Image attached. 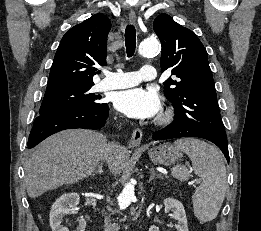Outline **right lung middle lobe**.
Returning <instances> with one entry per match:
<instances>
[{"instance_id": "obj_1", "label": "right lung middle lobe", "mask_w": 261, "mask_h": 231, "mask_svg": "<svg viewBox=\"0 0 261 231\" xmlns=\"http://www.w3.org/2000/svg\"><path fill=\"white\" fill-rule=\"evenodd\" d=\"M91 87H61L46 89L39 116L67 109L99 107L98 96L90 92Z\"/></svg>"}]
</instances>
